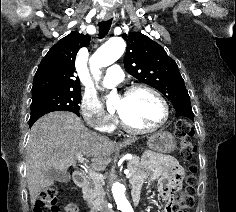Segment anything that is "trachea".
<instances>
[{"mask_svg":"<svg viewBox=\"0 0 236 212\" xmlns=\"http://www.w3.org/2000/svg\"><path fill=\"white\" fill-rule=\"evenodd\" d=\"M111 24H112V19L102 21L99 23V38L100 39L104 38L108 34Z\"/></svg>","mask_w":236,"mask_h":212,"instance_id":"obj_1","label":"trachea"}]
</instances>
